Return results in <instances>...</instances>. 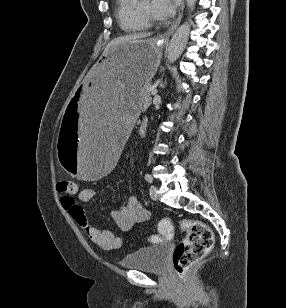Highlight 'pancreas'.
<instances>
[{"instance_id":"obj_1","label":"pancreas","mask_w":286,"mask_h":308,"mask_svg":"<svg viewBox=\"0 0 286 308\" xmlns=\"http://www.w3.org/2000/svg\"><path fill=\"white\" fill-rule=\"evenodd\" d=\"M151 85L150 84H146L140 92V97L143 101L144 106L148 107L151 104Z\"/></svg>"}]
</instances>
